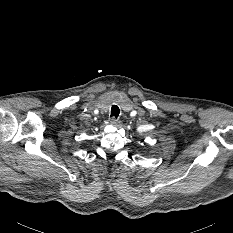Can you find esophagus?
<instances>
[{"label":"esophagus","mask_w":233,"mask_h":233,"mask_svg":"<svg viewBox=\"0 0 233 233\" xmlns=\"http://www.w3.org/2000/svg\"><path fill=\"white\" fill-rule=\"evenodd\" d=\"M110 123L116 127H120L122 125V122L116 118H111Z\"/></svg>","instance_id":"esophagus-1"}]
</instances>
